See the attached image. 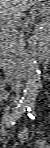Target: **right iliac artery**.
Segmentation results:
<instances>
[{
    "instance_id": "right-iliac-artery-1",
    "label": "right iliac artery",
    "mask_w": 50,
    "mask_h": 148,
    "mask_svg": "<svg viewBox=\"0 0 50 148\" xmlns=\"http://www.w3.org/2000/svg\"><path fill=\"white\" fill-rule=\"evenodd\" d=\"M28 104L26 102H20L16 109L7 117L4 126L10 127L13 125L21 115L27 110Z\"/></svg>"
}]
</instances>
